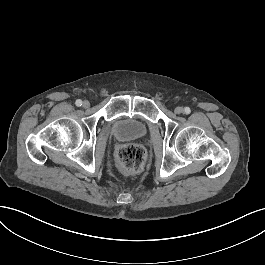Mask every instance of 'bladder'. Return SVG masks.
I'll return each mask as SVG.
<instances>
[{
    "instance_id": "obj_1",
    "label": "bladder",
    "mask_w": 265,
    "mask_h": 265,
    "mask_svg": "<svg viewBox=\"0 0 265 265\" xmlns=\"http://www.w3.org/2000/svg\"><path fill=\"white\" fill-rule=\"evenodd\" d=\"M113 133L120 140H140L147 134V126L139 118H121L113 125Z\"/></svg>"
}]
</instances>
